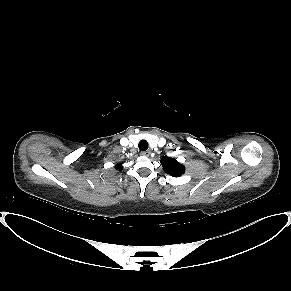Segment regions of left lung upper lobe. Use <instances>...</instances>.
<instances>
[{
	"label": "left lung upper lobe",
	"instance_id": "left-lung-upper-lobe-1",
	"mask_svg": "<svg viewBox=\"0 0 291 291\" xmlns=\"http://www.w3.org/2000/svg\"><path fill=\"white\" fill-rule=\"evenodd\" d=\"M161 165L166 173L173 177H179L185 173V167L170 157H162Z\"/></svg>",
	"mask_w": 291,
	"mask_h": 291
}]
</instances>
